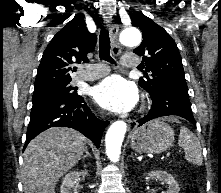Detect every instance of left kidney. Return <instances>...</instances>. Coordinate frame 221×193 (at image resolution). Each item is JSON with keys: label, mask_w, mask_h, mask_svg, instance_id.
Returning <instances> with one entry per match:
<instances>
[{"label": "left kidney", "mask_w": 221, "mask_h": 193, "mask_svg": "<svg viewBox=\"0 0 221 193\" xmlns=\"http://www.w3.org/2000/svg\"><path fill=\"white\" fill-rule=\"evenodd\" d=\"M148 176L156 177L160 181L166 182L169 187L167 193H179L180 191L179 185L171 174L162 170H156L148 173Z\"/></svg>", "instance_id": "obj_1"}]
</instances>
